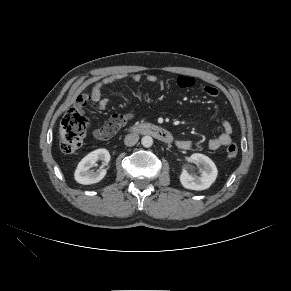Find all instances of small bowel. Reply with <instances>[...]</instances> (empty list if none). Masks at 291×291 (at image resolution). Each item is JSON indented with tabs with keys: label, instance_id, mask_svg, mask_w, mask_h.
<instances>
[{
	"label": "small bowel",
	"instance_id": "small-bowel-1",
	"mask_svg": "<svg viewBox=\"0 0 291 291\" xmlns=\"http://www.w3.org/2000/svg\"><path fill=\"white\" fill-rule=\"evenodd\" d=\"M125 78H129L134 82H139L142 80V75L139 73H121V74H113L103 79L97 81L89 95L90 101L94 104V107L103 110L106 108L108 104V99L102 97V90L104 87L108 85L115 84ZM146 81L154 83L157 81V77L155 75L149 74L145 76ZM177 85L180 89H188L191 88L195 84V80L190 76H179L176 80ZM204 92L209 96H216L218 94V90L214 86H205ZM114 117H119L122 119V126L132 117V114L126 115H116ZM222 132L216 138L209 140L208 147L211 150H218L219 148L226 146L232 142L231 133H232V126L228 121H224L221 124ZM94 136L97 139H107L112 135L108 132L106 125L102 128L97 129L94 132ZM176 146L181 150H189L192 147V142L189 140H178L176 142Z\"/></svg>",
	"mask_w": 291,
	"mask_h": 291
}]
</instances>
